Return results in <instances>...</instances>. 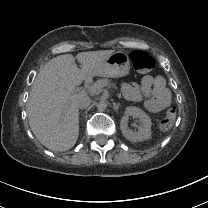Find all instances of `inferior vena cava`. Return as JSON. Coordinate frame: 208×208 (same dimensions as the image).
Listing matches in <instances>:
<instances>
[{"mask_svg": "<svg viewBox=\"0 0 208 208\" xmlns=\"http://www.w3.org/2000/svg\"><path fill=\"white\" fill-rule=\"evenodd\" d=\"M90 103H91V100L87 96H80L78 98V107L81 110L88 108Z\"/></svg>", "mask_w": 208, "mask_h": 208, "instance_id": "inferior-vena-cava-1", "label": "inferior vena cava"}]
</instances>
